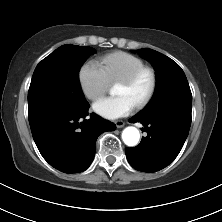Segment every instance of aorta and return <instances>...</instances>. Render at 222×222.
<instances>
[{"instance_id": "762f6f07", "label": "aorta", "mask_w": 222, "mask_h": 222, "mask_svg": "<svg viewBox=\"0 0 222 222\" xmlns=\"http://www.w3.org/2000/svg\"><path fill=\"white\" fill-rule=\"evenodd\" d=\"M122 139L127 146H136L140 140L139 130L133 126L126 127L122 132Z\"/></svg>"}]
</instances>
